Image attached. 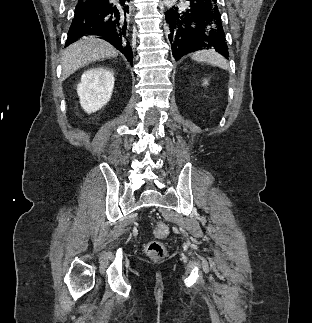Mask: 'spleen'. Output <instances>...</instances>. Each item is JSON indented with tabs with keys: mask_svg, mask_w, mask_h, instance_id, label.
<instances>
[{
	"mask_svg": "<svg viewBox=\"0 0 312 323\" xmlns=\"http://www.w3.org/2000/svg\"><path fill=\"white\" fill-rule=\"evenodd\" d=\"M192 60L196 62H207V64H212V66H219L223 70H228V64L220 54H216L213 50H202V52H196L192 54Z\"/></svg>",
	"mask_w": 312,
	"mask_h": 323,
	"instance_id": "spleen-1",
	"label": "spleen"
}]
</instances>
